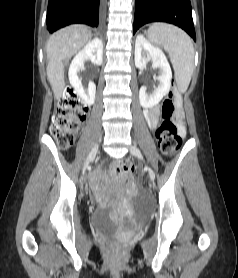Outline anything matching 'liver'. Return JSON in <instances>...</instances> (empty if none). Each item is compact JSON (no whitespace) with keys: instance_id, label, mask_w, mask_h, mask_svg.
Instances as JSON below:
<instances>
[{"instance_id":"liver-1","label":"liver","mask_w":238,"mask_h":278,"mask_svg":"<svg viewBox=\"0 0 238 278\" xmlns=\"http://www.w3.org/2000/svg\"><path fill=\"white\" fill-rule=\"evenodd\" d=\"M91 37L92 33L88 27L71 25L49 38L46 46V71L55 100H60L65 88L64 63L77 53Z\"/></svg>"}]
</instances>
